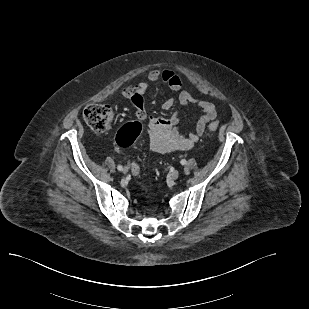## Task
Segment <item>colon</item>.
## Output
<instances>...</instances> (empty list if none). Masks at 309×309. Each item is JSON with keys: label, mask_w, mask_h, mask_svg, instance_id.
<instances>
[{"label": "colon", "mask_w": 309, "mask_h": 309, "mask_svg": "<svg viewBox=\"0 0 309 309\" xmlns=\"http://www.w3.org/2000/svg\"><path fill=\"white\" fill-rule=\"evenodd\" d=\"M83 117L87 125L97 133L109 131L113 120V110L104 104H90L84 108ZM218 123H211L209 131H216ZM142 131V124L133 121L125 124L117 133L116 141L120 147H129L134 143ZM140 172L137 163L132 164V173L137 176Z\"/></svg>", "instance_id": "1"}]
</instances>
